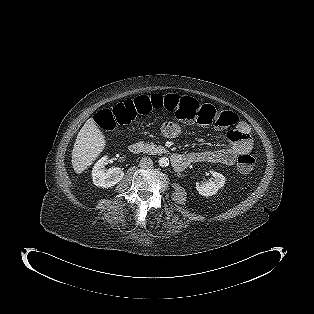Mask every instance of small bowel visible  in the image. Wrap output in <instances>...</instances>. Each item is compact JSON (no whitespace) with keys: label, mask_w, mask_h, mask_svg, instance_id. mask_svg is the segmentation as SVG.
<instances>
[{"label":"small bowel","mask_w":314,"mask_h":314,"mask_svg":"<svg viewBox=\"0 0 314 314\" xmlns=\"http://www.w3.org/2000/svg\"><path fill=\"white\" fill-rule=\"evenodd\" d=\"M181 126L176 122H165L161 132L165 138H175L180 135ZM229 146L221 149H208L191 153L188 156L194 158V162H206L222 165H233L237 157L241 154L249 153L253 147L250 136V127L245 122L237 123L235 129L227 135Z\"/></svg>","instance_id":"1"}]
</instances>
